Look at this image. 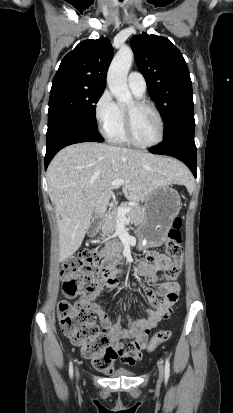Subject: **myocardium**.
<instances>
[{
    "instance_id": "1",
    "label": "myocardium",
    "mask_w": 233,
    "mask_h": 413,
    "mask_svg": "<svg viewBox=\"0 0 233 413\" xmlns=\"http://www.w3.org/2000/svg\"><path fill=\"white\" fill-rule=\"evenodd\" d=\"M134 104V108L138 109V108H149L151 109L160 124V133H159V137L158 139L153 142V143H149V144H144L139 142L134 135V130H133V110H129V109H125L124 111V116H125V134L127 137V140L129 141L130 144L138 147V148H144V149H148V148H153L158 146L159 144H161L164 140L165 137V122L164 119L159 111V109L156 107L155 104L147 101V100H143V99H137L133 102Z\"/></svg>"
}]
</instances>
